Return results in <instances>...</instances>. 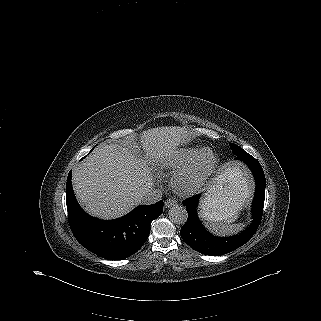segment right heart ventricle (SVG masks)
<instances>
[{
  "label": "right heart ventricle",
  "instance_id": "obj_1",
  "mask_svg": "<svg viewBox=\"0 0 321 321\" xmlns=\"http://www.w3.org/2000/svg\"><path fill=\"white\" fill-rule=\"evenodd\" d=\"M198 151L196 148L176 151L163 160L161 167L166 171L179 172L192 162Z\"/></svg>",
  "mask_w": 321,
  "mask_h": 321
}]
</instances>
